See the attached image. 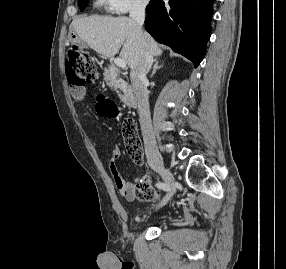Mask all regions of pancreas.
<instances>
[{
	"label": "pancreas",
	"instance_id": "pancreas-1",
	"mask_svg": "<svg viewBox=\"0 0 286 269\" xmlns=\"http://www.w3.org/2000/svg\"><path fill=\"white\" fill-rule=\"evenodd\" d=\"M104 79L106 84L114 90L123 89L124 82L121 78H118V70L115 67L104 70Z\"/></svg>",
	"mask_w": 286,
	"mask_h": 269
}]
</instances>
